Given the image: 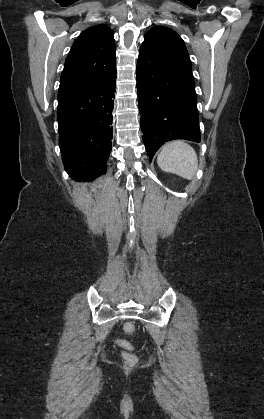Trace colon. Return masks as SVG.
Here are the masks:
<instances>
[{
	"label": "colon",
	"mask_w": 264,
	"mask_h": 419,
	"mask_svg": "<svg viewBox=\"0 0 264 419\" xmlns=\"http://www.w3.org/2000/svg\"><path fill=\"white\" fill-rule=\"evenodd\" d=\"M134 330H135V326H134L133 323L129 322V323L125 324L124 331L127 334H132L134 332ZM117 344L125 350V352L123 354V358H124V361H125L126 365L134 366L138 362V358L132 352V350H133L132 345L124 339H118Z\"/></svg>",
	"instance_id": "colon-1"
}]
</instances>
